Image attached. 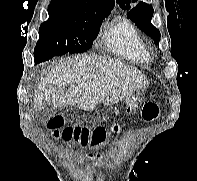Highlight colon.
Masks as SVG:
<instances>
[{
	"label": "colon",
	"mask_w": 197,
	"mask_h": 181,
	"mask_svg": "<svg viewBox=\"0 0 197 181\" xmlns=\"http://www.w3.org/2000/svg\"><path fill=\"white\" fill-rule=\"evenodd\" d=\"M160 114V106L156 102H147L142 108V118L146 122L153 121ZM64 118L56 117L48 123V129L56 139H62L66 143L75 142L82 147L88 145L98 146L104 143L109 134H117L123 127L113 125L110 128L95 127L90 129L81 126L63 127Z\"/></svg>",
	"instance_id": "1"
}]
</instances>
